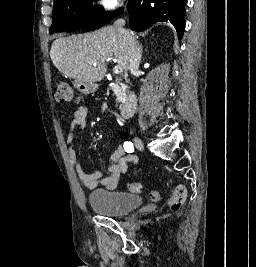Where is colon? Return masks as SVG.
I'll list each match as a JSON object with an SVG mask.
<instances>
[{
	"label": "colon",
	"instance_id": "1",
	"mask_svg": "<svg viewBox=\"0 0 256 267\" xmlns=\"http://www.w3.org/2000/svg\"><path fill=\"white\" fill-rule=\"evenodd\" d=\"M56 98L61 102H76L78 96L75 93L74 87L68 82H59L56 89ZM128 191L132 194H141L143 185L139 182H131L128 184ZM159 192L152 190L150 196L152 200H157ZM187 197V190L183 184H177L174 192L169 198L168 204L171 211H178Z\"/></svg>",
	"mask_w": 256,
	"mask_h": 267
}]
</instances>
